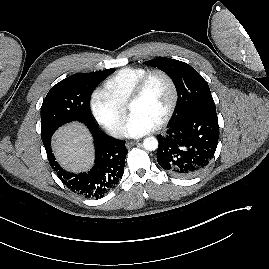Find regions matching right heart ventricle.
<instances>
[{
  "label": "right heart ventricle",
  "instance_id": "right-heart-ventricle-1",
  "mask_svg": "<svg viewBox=\"0 0 269 269\" xmlns=\"http://www.w3.org/2000/svg\"><path fill=\"white\" fill-rule=\"evenodd\" d=\"M148 71L144 67L122 68L105 81L103 90L113 101L124 108L135 85Z\"/></svg>",
  "mask_w": 269,
  "mask_h": 269
}]
</instances>
